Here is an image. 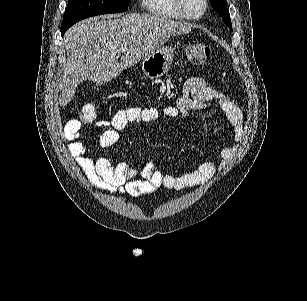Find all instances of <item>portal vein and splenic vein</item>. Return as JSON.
<instances>
[{"label": "portal vein and splenic vein", "mask_w": 307, "mask_h": 301, "mask_svg": "<svg viewBox=\"0 0 307 301\" xmlns=\"http://www.w3.org/2000/svg\"><path fill=\"white\" fill-rule=\"evenodd\" d=\"M117 52H126L128 50V46H120V48H116Z\"/></svg>", "instance_id": "18ae733b"}]
</instances>
